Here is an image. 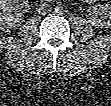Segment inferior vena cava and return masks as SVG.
<instances>
[{
  "label": "inferior vena cava",
  "mask_w": 111,
  "mask_h": 106,
  "mask_svg": "<svg viewBox=\"0 0 111 106\" xmlns=\"http://www.w3.org/2000/svg\"><path fill=\"white\" fill-rule=\"evenodd\" d=\"M51 6L44 3V4H41L40 7H39V14H47L51 11Z\"/></svg>",
  "instance_id": "obj_1"
}]
</instances>
